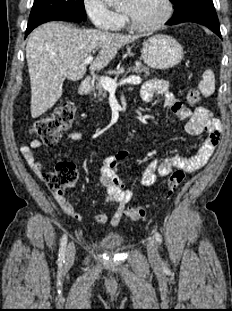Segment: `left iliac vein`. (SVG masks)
Returning <instances> with one entry per match:
<instances>
[{
	"label": "left iliac vein",
	"instance_id": "1",
	"mask_svg": "<svg viewBox=\"0 0 232 311\" xmlns=\"http://www.w3.org/2000/svg\"><path fill=\"white\" fill-rule=\"evenodd\" d=\"M147 252L149 260L152 263H159L160 257H159V251H158V245L155 240H150L147 244Z\"/></svg>",
	"mask_w": 232,
	"mask_h": 311
}]
</instances>
